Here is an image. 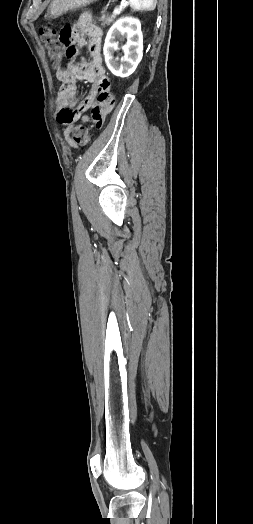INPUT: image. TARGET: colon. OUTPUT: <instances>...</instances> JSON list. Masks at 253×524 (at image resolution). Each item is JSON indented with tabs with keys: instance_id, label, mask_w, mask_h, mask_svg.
<instances>
[{
	"instance_id": "obj_1",
	"label": "colon",
	"mask_w": 253,
	"mask_h": 524,
	"mask_svg": "<svg viewBox=\"0 0 253 524\" xmlns=\"http://www.w3.org/2000/svg\"><path fill=\"white\" fill-rule=\"evenodd\" d=\"M60 30L55 29L54 27L47 25L40 29V38L46 49V52L53 63V65H60L63 62V50L58 42V33ZM111 110H109L110 112ZM58 119L61 122L67 121L66 111H60L58 113ZM72 139L76 146L82 147L85 146L89 141V130L88 128L81 123L76 124L72 129Z\"/></svg>"
}]
</instances>
